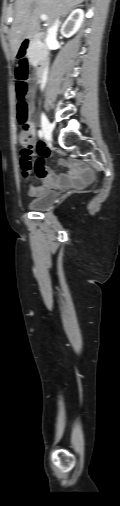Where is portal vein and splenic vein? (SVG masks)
I'll use <instances>...</instances> for the list:
<instances>
[{
    "label": "portal vein and splenic vein",
    "mask_w": 120,
    "mask_h": 506,
    "mask_svg": "<svg viewBox=\"0 0 120 506\" xmlns=\"http://www.w3.org/2000/svg\"><path fill=\"white\" fill-rule=\"evenodd\" d=\"M40 19H41L42 21H46V20H47V16H46V15H41V16H40Z\"/></svg>",
    "instance_id": "18ae733b"
}]
</instances>
